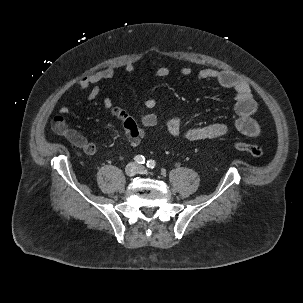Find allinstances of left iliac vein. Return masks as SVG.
I'll use <instances>...</instances> for the list:
<instances>
[{"instance_id": "1", "label": "left iliac vein", "mask_w": 303, "mask_h": 303, "mask_svg": "<svg viewBox=\"0 0 303 303\" xmlns=\"http://www.w3.org/2000/svg\"><path fill=\"white\" fill-rule=\"evenodd\" d=\"M137 172L139 174H147V169L144 166H138L137 167Z\"/></svg>"}]
</instances>
